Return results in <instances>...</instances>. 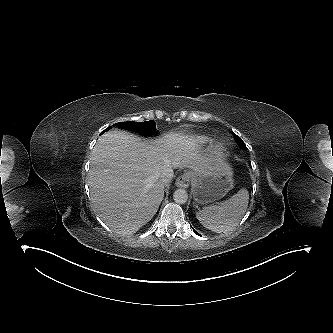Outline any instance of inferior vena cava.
<instances>
[{"instance_id": "602c4592", "label": "inferior vena cava", "mask_w": 333, "mask_h": 333, "mask_svg": "<svg viewBox=\"0 0 333 333\" xmlns=\"http://www.w3.org/2000/svg\"><path fill=\"white\" fill-rule=\"evenodd\" d=\"M174 172L173 169L171 167H164L161 170L160 173V181L163 182L164 184H167L171 181V179L173 178Z\"/></svg>"}]
</instances>
